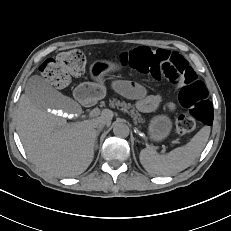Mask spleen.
<instances>
[{
	"mask_svg": "<svg viewBox=\"0 0 231 231\" xmlns=\"http://www.w3.org/2000/svg\"><path fill=\"white\" fill-rule=\"evenodd\" d=\"M210 127L204 126L185 146L175 148L166 155L145 148L140 152V162L152 175L169 176L188 168L204 149Z\"/></svg>",
	"mask_w": 231,
	"mask_h": 231,
	"instance_id": "spleen-1",
	"label": "spleen"
}]
</instances>
